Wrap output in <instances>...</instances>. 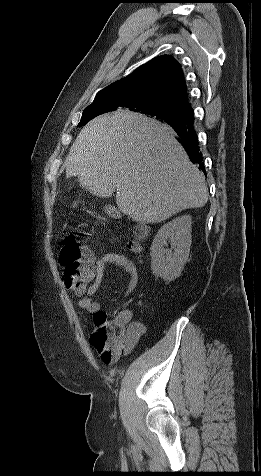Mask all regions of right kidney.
I'll return each mask as SVG.
<instances>
[{
    "mask_svg": "<svg viewBox=\"0 0 261 476\" xmlns=\"http://www.w3.org/2000/svg\"><path fill=\"white\" fill-rule=\"evenodd\" d=\"M191 216L184 215L163 225L151 245V269L155 276L172 281L180 276L191 246ZM167 241L171 249H165ZM173 250V251H172Z\"/></svg>",
    "mask_w": 261,
    "mask_h": 476,
    "instance_id": "1",
    "label": "right kidney"
}]
</instances>
